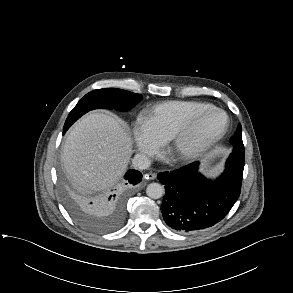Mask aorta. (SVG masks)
Returning a JSON list of instances; mask_svg holds the SVG:
<instances>
[{"instance_id": "obj_1", "label": "aorta", "mask_w": 293, "mask_h": 293, "mask_svg": "<svg viewBox=\"0 0 293 293\" xmlns=\"http://www.w3.org/2000/svg\"><path fill=\"white\" fill-rule=\"evenodd\" d=\"M146 194L151 199H159L164 194V188L159 183H150L146 188Z\"/></svg>"}]
</instances>
